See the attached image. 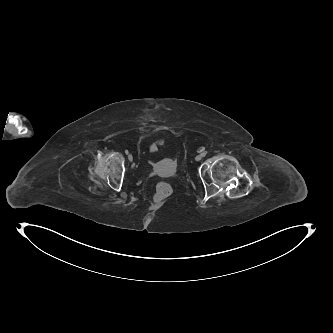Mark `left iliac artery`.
<instances>
[{
	"label": "left iliac artery",
	"instance_id": "44dca946",
	"mask_svg": "<svg viewBox=\"0 0 333 333\" xmlns=\"http://www.w3.org/2000/svg\"><path fill=\"white\" fill-rule=\"evenodd\" d=\"M203 150H204V148H202V149H201V151H203ZM202 155H203V156H205V155H206V153H205V152H203V153H202Z\"/></svg>",
	"mask_w": 333,
	"mask_h": 333
}]
</instances>
